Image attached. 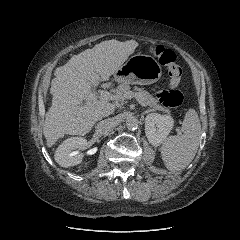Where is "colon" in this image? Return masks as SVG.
Wrapping results in <instances>:
<instances>
[{"label": "colon", "instance_id": "obj_1", "mask_svg": "<svg viewBox=\"0 0 240 240\" xmlns=\"http://www.w3.org/2000/svg\"><path fill=\"white\" fill-rule=\"evenodd\" d=\"M151 51L159 59L160 64L167 67L170 77L169 87L157 94L158 99L164 106L167 107H178L182 105L185 100V96L177 89L181 80L182 70L175 62V53L161 45L153 46Z\"/></svg>", "mask_w": 240, "mask_h": 240}]
</instances>
